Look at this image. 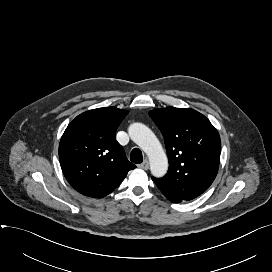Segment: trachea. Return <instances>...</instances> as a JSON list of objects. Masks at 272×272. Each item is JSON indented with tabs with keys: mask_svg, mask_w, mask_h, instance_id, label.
Returning a JSON list of instances; mask_svg holds the SVG:
<instances>
[{
	"mask_svg": "<svg viewBox=\"0 0 272 272\" xmlns=\"http://www.w3.org/2000/svg\"><path fill=\"white\" fill-rule=\"evenodd\" d=\"M130 160L135 164H140L143 161V155L140 149L134 148L130 154Z\"/></svg>",
	"mask_w": 272,
	"mask_h": 272,
	"instance_id": "trachea-1",
	"label": "trachea"
}]
</instances>
